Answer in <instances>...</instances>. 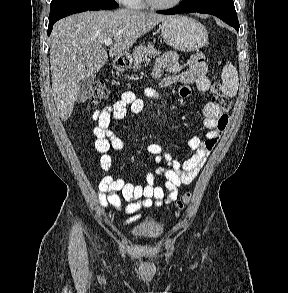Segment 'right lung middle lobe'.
<instances>
[{
  "instance_id": "right-lung-middle-lobe-1",
  "label": "right lung middle lobe",
  "mask_w": 288,
  "mask_h": 293,
  "mask_svg": "<svg viewBox=\"0 0 288 293\" xmlns=\"http://www.w3.org/2000/svg\"><path fill=\"white\" fill-rule=\"evenodd\" d=\"M81 7L113 9L119 7V5L114 0H52L49 19Z\"/></svg>"
}]
</instances>
